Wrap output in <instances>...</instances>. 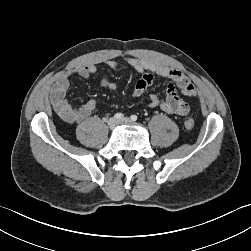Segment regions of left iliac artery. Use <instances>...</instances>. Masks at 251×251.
Listing matches in <instances>:
<instances>
[{
    "label": "left iliac artery",
    "instance_id": "1",
    "mask_svg": "<svg viewBox=\"0 0 251 251\" xmlns=\"http://www.w3.org/2000/svg\"><path fill=\"white\" fill-rule=\"evenodd\" d=\"M130 119H131L132 121H136V120H137V116H136V115H131Z\"/></svg>",
    "mask_w": 251,
    "mask_h": 251
}]
</instances>
